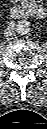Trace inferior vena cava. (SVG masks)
Masks as SVG:
<instances>
[{
	"mask_svg": "<svg viewBox=\"0 0 47 129\" xmlns=\"http://www.w3.org/2000/svg\"><path fill=\"white\" fill-rule=\"evenodd\" d=\"M12 33H13V28L12 27H8L7 30H6V35L10 36V35H12Z\"/></svg>",
	"mask_w": 47,
	"mask_h": 129,
	"instance_id": "inferior-vena-cava-1",
	"label": "inferior vena cava"
}]
</instances>
